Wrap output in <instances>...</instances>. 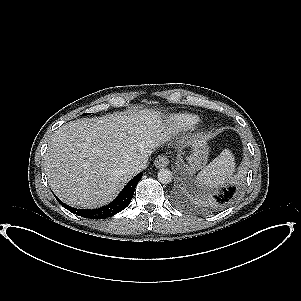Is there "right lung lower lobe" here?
Here are the masks:
<instances>
[{
    "label": "right lung lower lobe",
    "mask_w": 301,
    "mask_h": 301,
    "mask_svg": "<svg viewBox=\"0 0 301 301\" xmlns=\"http://www.w3.org/2000/svg\"><path fill=\"white\" fill-rule=\"evenodd\" d=\"M141 178H142V173H139L132 180H130L128 182V184L123 188L121 193L118 195V197L114 201H112L110 204H108L104 207L98 208V209L88 210V209L71 208V207L67 206L65 203H63L62 201H60L59 199H57V200L66 209H70L71 212H73L79 216H82L84 218H91V219L108 218V217H111V216L119 213L120 211L124 210L129 205V203L131 202V199L133 197L135 187Z\"/></svg>",
    "instance_id": "obj_1"
}]
</instances>
